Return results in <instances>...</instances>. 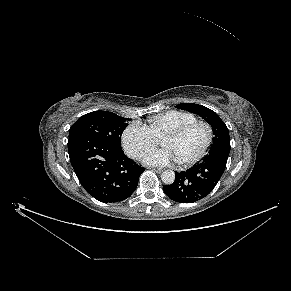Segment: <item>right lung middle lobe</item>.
Instances as JSON below:
<instances>
[{"label":"right lung middle lobe","instance_id":"obj_1","mask_svg":"<svg viewBox=\"0 0 291 291\" xmlns=\"http://www.w3.org/2000/svg\"><path fill=\"white\" fill-rule=\"evenodd\" d=\"M129 118H123L108 111H94L81 116L69 129V137L86 133L103 139L119 149L120 140Z\"/></svg>","mask_w":291,"mask_h":291}]
</instances>
